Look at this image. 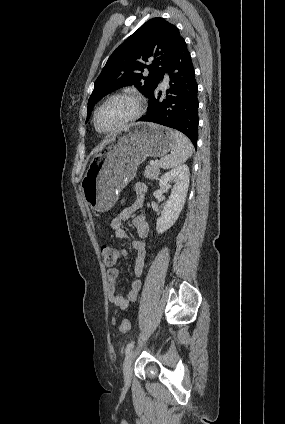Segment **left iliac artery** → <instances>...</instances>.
<instances>
[{
	"instance_id": "44dca946",
	"label": "left iliac artery",
	"mask_w": 285,
	"mask_h": 424,
	"mask_svg": "<svg viewBox=\"0 0 285 424\" xmlns=\"http://www.w3.org/2000/svg\"><path fill=\"white\" fill-rule=\"evenodd\" d=\"M133 346H134V341L130 342V343L126 346V349H125V354H126V355L130 352V350L133 348Z\"/></svg>"
}]
</instances>
